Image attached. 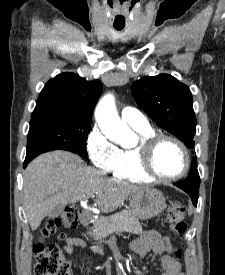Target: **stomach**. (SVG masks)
I'll list each match as a JSON object with an SVG mask.
<instances>
[{
	"instance_id": "1",
	"label": "stomach",
	"mask_w": 225,
	"mask_h": 275,
	"mask_svg": "<svg viewBox=\"0 0 225 275\" xmlns=\"http://www.w3.org/2000/svg\"><path fill=\"white\" fill-rule=\"evenodd\" d=\"M129 201L132 213L141 220L154 218L166 208L165 197L153 188L133 193Z\"/></svg>"
}]
</instances>
